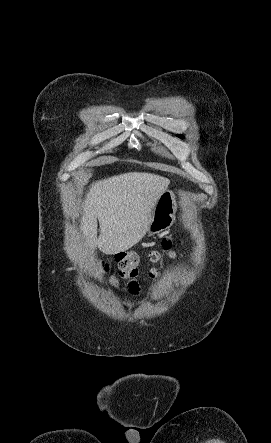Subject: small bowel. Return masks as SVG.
Returning <instances> with one entry per match:
<instances>
[{"instance_id":"small-bowel-1","label":"small bowel","mask_w":271,"mask_h":443,"mask_svg":"<svg viewBox=\"0 0 271 443\" xmlns=\"http://www.w3.org/2000/svg\"><path fill=\"white\" fill-rule=\"evenodd\" d=\"M107 267H104L103 268V270L105 271V272H107ZM109 281H110V284L113 286V287H115V288H119V282H118V280L115 278V277H110V279H109Z\"/></svg>"}]
</instances>
